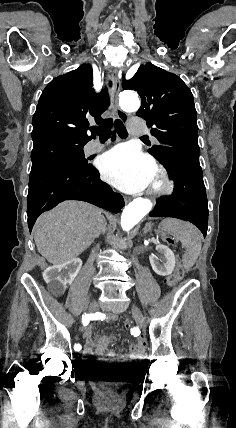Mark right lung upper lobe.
<instances>
[{"mask_svg":"<svg viewBox=\"0 0 236 428\" xmlns=\"http://www.w3.org/2000/svg\"><path fill=\"white\" fill-rule=\"evenodd\" d=\"M92 67L80 65L76 70L53 79L43 90L32 119L33 146L53 140L89 141V122L104 123L101 114L108 108L107 90L96 94L92 88Z\"/></svg>","mask_w":236,"mask_h":428,"instance_id":"obj_1","label":"right lung upper lobe"}]
</instances>
